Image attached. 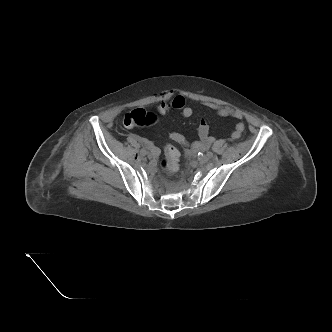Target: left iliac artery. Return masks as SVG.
Instances as JSON below:
<instances>
[{"instance_id":"1","label":"left iliac artery","mask_w":332,"mask_h":332,"mask_svg":"<svg viewBox=\"0 0 332 332\" xmlns=\"http://www.w3.org/2000/svg\"><path fill=\"white\" fill-rule=\"evenodd\" d=\"M207 156H208L209 158H212V157H213V153H212L211 151H208V152H207Z\"/></svg>"}]
</instances>
